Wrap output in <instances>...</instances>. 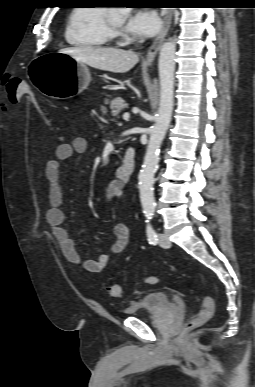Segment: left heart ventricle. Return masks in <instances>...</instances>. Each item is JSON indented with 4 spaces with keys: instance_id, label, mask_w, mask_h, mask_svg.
I'll list each match as a JSON object with an SVG mask.
<instances>
[{
    "instance_id": "obj_1",
    "label": "left heart ventricle",
    "mask_w": 255,
    "mask_h": 387,
    "mask_svg": "<svg viewBox=\"0 0 255 387\" xmlns=\"http://www.w3.org/2000/svg\"><path fill=\"white\" fill-rule=\"evenodd\" d=\"M111 20H112V23L118 28H120L123 24V20L116 14L111 15Z\"/></svg>"
}]
</instances>
